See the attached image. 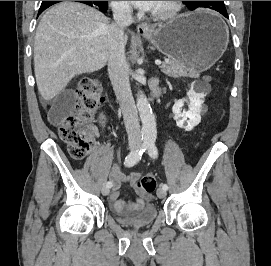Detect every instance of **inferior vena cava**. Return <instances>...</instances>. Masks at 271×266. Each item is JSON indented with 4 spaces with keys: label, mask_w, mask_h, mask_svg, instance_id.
<instances>
[{
    "label": "inferior vena cava",
    "mask_w": 271,
    "mask_h": 266,
    "mask_svg": "<svg viewBox=\"0 0 271 266\" xmlns=\"http://www.w3.org/2000/svg\"><path fill=\"white\" fill-rule=\"evenodd\" d=\"M112 11L114 23L108 32V74L122 110L128 140L140 142L138 112L129 85L124 50V28L133 22L132 10L128 3L121 2L113 4Z\"/></svg>",
    "instance_id": "602c4592"
}]
</instances>
